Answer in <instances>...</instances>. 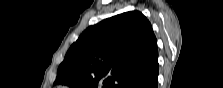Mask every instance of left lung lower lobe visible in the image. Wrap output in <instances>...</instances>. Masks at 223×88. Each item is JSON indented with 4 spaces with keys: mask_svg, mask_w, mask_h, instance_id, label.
Instances as JSON below:
<instances>
[{
    "mask_svg": "<svg viewBox=\"0 0 223 88\" xmlns=\"http://www.w3.org/2000/svg\"><path fill=\"white\" fill-rule=\"evenodd\" d=\"M158 62H156L144 75L138 78L129 88H157Z\"/></svg>",
    "mask_w": 223,
    "mask_h": 88,
    "instance_id": "left-lung-lower-lobe-1",
    "label": "left lung lower lobe"
}]
</instances>
